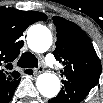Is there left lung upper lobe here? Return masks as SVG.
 <instances>
[{
  "mask_svg": "<svg viewBox=\"0 0 103 103\" xmlns=\"http://www.w3.org/2000/svg\"><path fill=\"white\" fill-rule=\"evenodd\" d=\"M57 30L55 58L65 66L63 84L70 82L90 88L96 86L101 74V63L84 31L62 17H53Z\"/></svg>",
  "mask_w": 103,
  "mask_h": 103,
  "instance_id": "5c2ea615",
  "label": "left lung upper lobe"
}]
</instances>
